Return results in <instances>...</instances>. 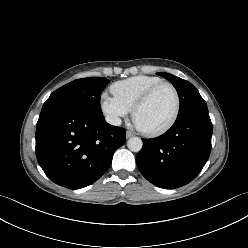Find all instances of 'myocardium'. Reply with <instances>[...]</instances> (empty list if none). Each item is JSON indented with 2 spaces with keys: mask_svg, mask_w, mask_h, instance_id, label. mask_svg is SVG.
Wrapping results in <instances>:
<instances>
[{
  "mask_svg": "<svg viewBox=\"0 0 248 248\" xmlns=\"http://www.w3.org/2000/svg\"><path fill=\"white\" fill-rule=\"evenodd\" d=\"M163 86H167L169 87L173 94H174V97H175V109H174V112L171 116V118L162 126L160 127H157V128H153V129H146V128H143L141 126L138 125L139 129L146 135H149V136H156V135H159V134H162L164 132H166L167 130H169L173 124L175 123V121L177 120V117L179 115V112H180V106H181V101H180V95H179V92L178 90L176 89V87L170 83V82H167V81H161L155 85H153L152 87H150L137 101L136 103L134 104L133 108H132V116H133V119L134 121L136 122V115H137V112L139 111V109L144 106L148 101L149 99L152 97V95L161 87Z\"/></svg>",
  "mask_w": 248,
  "mask_h": 248,
  "instance_id": "myocardium-1",
  "label": "myocardium"
}]
</instances>
